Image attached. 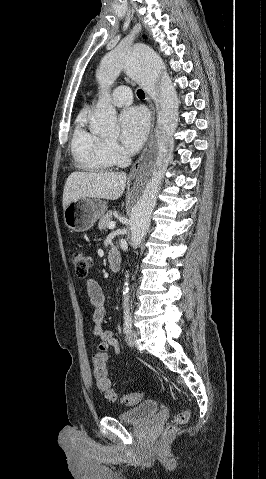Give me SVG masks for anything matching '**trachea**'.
Listing matches in <instances>:
<instances>
[{
    "label": "trachea",
    "mask_w": 266,
    "mask_h": 479,
    "mask_svg": "<svg viewBox=\"0 0 266 479\" xmlns=\"http://www.w3.org/2000/svg\"><path fill=\"white\" fill-rule=\"evenodd\" d=\"M137 96H138L139 98H141V99H142V98H145L144 91L141 90V89H139V90L137 91Z\"/></svg>",
    "instance_id": "obj_1"
}]
</instances>
